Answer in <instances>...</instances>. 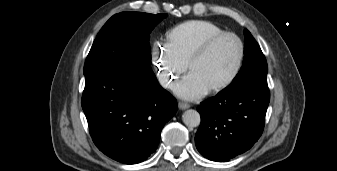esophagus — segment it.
I'll return each instance as SVG.
<instances>
[{"label": "esophagus", "instance_id": "1", "mask_svg": "<svg viewBox=\"0 0 337 171\" xmlns=\"http://www.w3.org/2000/svg\"><path fill=\"white\" fill-rule=\"evenodd\" d=\"M178 107H179V109H181V110H185V109H188V108L190 107V105L187 104V103H184V102H179V103H178Z\"/></svg>", "mask_w": 337, "mask_h": 171}]
</instances>
